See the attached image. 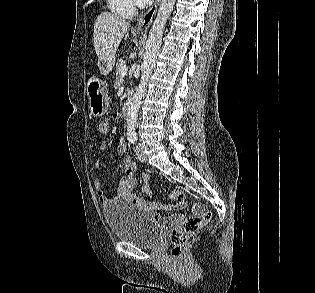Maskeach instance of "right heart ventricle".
Here are the masks:
<instances>
[{
	"label": "right heart ventricle",
	"instance_id": "1",
	"mask_svg": "<svg viewBox=\"0 0 315 293\" xmlns=\"http://www.w3.org/2000/svg\"><path fill=\"white\" fill-rule=\"evenodd\" d=\"M110 11L122 18H131L135 14L132 0H106Z\"/></svg>",
	"mask_w": 315,
	"mask_h": 293
}]
</instances>
